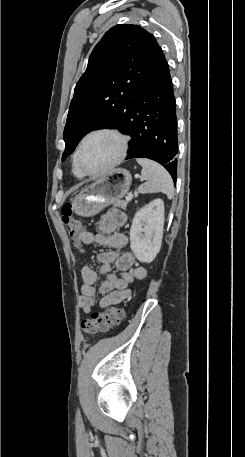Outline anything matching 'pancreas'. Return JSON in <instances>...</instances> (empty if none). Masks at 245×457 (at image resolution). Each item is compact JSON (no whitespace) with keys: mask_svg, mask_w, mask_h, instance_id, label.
<instances>
[{"mask_svg":"<svg viewBox=\"0 0 245 457\" xmlns=\"http://www.w3.org/2000/svg\"><path fill=\"white\" fill-rule=\"evenodd\" d=\"M127 204H128V200H115V202H114V206H119V208H124V210H125Z\"/></svg>","mask_w":245,"mask_h":457,"instance_id":"cf45deb5","label":"pancreas"}]
</instances>
